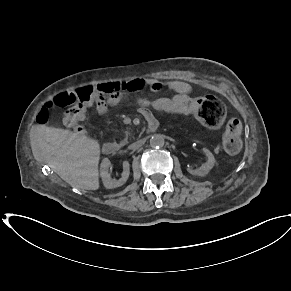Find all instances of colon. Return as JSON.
I'll return each mask as SVG.
<instances>
[{
	"label": "colon",
	"mask_w": 291,
	"mask_h": 291,
	"mask_svg": "<svg viewBox=\"0 0 291 291\" xmlns=\"http://www.w3.org/2000/svg\"><path fill=\"white\" fill-rule=\"evenodd\" d=\"M125 90L123 83H106L97 87L86 86L71 92H61L47 101L39 111L36 121L39 124L48 122L52 109H65L63 124L72 128L77 134H82L84 129L80 121L87 108L99 101L117 95ZM146 107H154L158 112L174 114L178 118H184L196 114L199 121L208 128L219 127L225 117L223 104L214 96L202 98H188V96H177V98H146ZM241 122L231 119L223 137L224 148L235 153L239 150L241 140Z\"/></svg>",
	"instance_id": "5ec220e1"
}]
</instances>
